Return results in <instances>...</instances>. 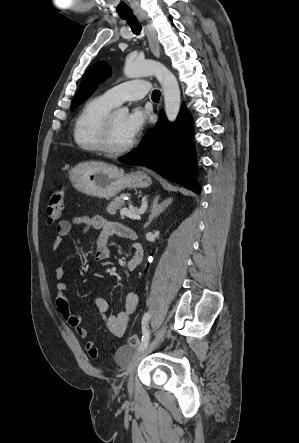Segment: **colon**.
<instances>
[{
  "instance_id": "1",
  "label": "colon",
  "mask_w": 299,
  "mask_h": 443,
  "mask_svg": "<svg viewBox=\"0 0 299 443\" xmlns=\"http://www.w3.org/2000/svg\"><path fill=\"white\" fill-rule=\"evenodd\" d=\"M64 202V187L59 185L50 195L46 207L47 221L49 224L55 223L61 216ZM129 346L122 348L117 359L119 362H125L132 349L137 348L141 344L140 337L131 335L129 337Z\"/></svg>"
}]
</instances>
